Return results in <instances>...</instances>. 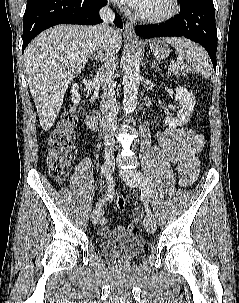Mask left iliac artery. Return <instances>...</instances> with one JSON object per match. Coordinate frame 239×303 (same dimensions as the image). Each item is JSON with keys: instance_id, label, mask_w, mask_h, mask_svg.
Listing matches in <instances>:
<instances>
[{"instance_id": "1", "label": "left iliac artery", "mask_w": 239, "mask_h": 303, "mask_svg": "<svg viewBox=\"0 0 239 303\" xmlns=\"http://www.w3.org/2000/svg\"><path fill=\"white\" fill-rule=\"evenodd\" d=\"M138 184L141 189V196L145 201V208L146 212L148 215L152 216L151 210L148 206V199H149V184L147 178L141 173V172H136L135 174Z\"/></svg>"}]
</instances>
